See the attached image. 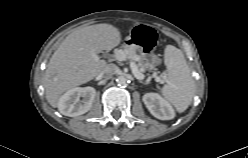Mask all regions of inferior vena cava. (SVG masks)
<instances>
[{
  "mask_svg": "<svg viewBox=\"0 0 248 158\" xmlns=\"http://www.w3.org/2000/svg\"><path fill=\"white\" fill-rule=\"evenodd\" d=\"M116 72V66L114 64H107L101 71L100 76L104 78L112 77Z\"/></svg>",
  "mask_w": 248,
  "mask_h": 158,
  "instance_id": "1",
  "label": "inferior vena cava"
}]
</instances>
